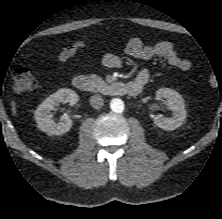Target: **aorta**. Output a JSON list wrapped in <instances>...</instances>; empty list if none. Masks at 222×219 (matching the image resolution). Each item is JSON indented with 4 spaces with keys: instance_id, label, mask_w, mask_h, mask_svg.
<instances>
[{
    "instance_id": "762f6f07",
    "label": "aorta",
    "mask_w": 222,
    "mask_h": 219,
    "mask_svg": "<svg viewBox=\"0 0 222 219\" xmlns=\"http://www.w3.org/2000/svg\"><path fill=\"white\" fill-rule=\"evenodd\" d=\"M110 108L115 113H121L124 110V102L118 98L112 99L110 102Z\"/></svg>"
}]
</instances>
